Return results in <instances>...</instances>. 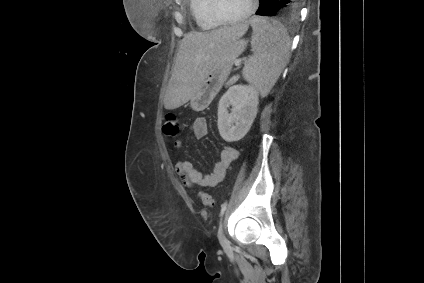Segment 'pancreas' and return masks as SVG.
Returning a JSON list of instances; mask_svg holds the SVG:
<instances>
[{
  "mask_svg": "<svg viewBox=\"0 0 424 283\" xmlns=\"http://www.w3.org/2000/svg\"><path fill=\"white\" fill-rule=\"evenodd\" d=\"M238 79H239V76H238V75H237V76L232 77L231 79H229V80L227 81V83H226V87H229V86H231V85L235 84V83L238 81Z\"/></svg>",
  "mask_w": 424,
  "mask_h": 283,
  "instance_id": "pancreas-1",
  "label": "pancreas"
}]
</instances>
